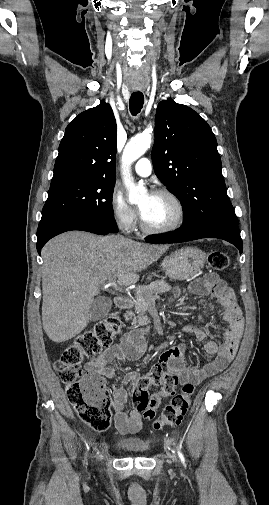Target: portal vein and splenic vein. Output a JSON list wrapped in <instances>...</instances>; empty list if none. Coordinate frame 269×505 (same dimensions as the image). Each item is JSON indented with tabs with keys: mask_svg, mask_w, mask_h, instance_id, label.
I'll use <instances>...</instances> for the list:
<instances>
[{
	"mask_svg": "<svg viewBox=\"0 0 269 505\" xmlns=\"http://www.w3.org/2000/svg\"><path fill=\"white\" fill-rule=\"evenodd\" d=\"M108 285L112 286V287H113V288H115V289H120V287H119V286H117V285L114 283V280L110 281V283H109Z\"/></svg>",
	"mask_w": 269,
	"mask_h": 505,
	"instance_id": "portal-vein-and-splenic-vein-1",
	"label": "portal vein and splenic vein"
}]
</instances>
